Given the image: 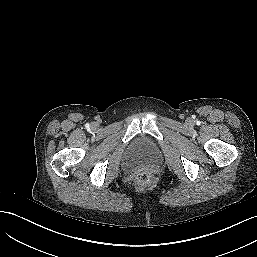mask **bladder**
Listing matches in <instances>:
<instances>
[{
	"label": "bladder",
	"instance_id": "bladder-1",
	"mask_svg": "<svg viewBox=\"0 0 257 257\" xmlns=\"http://www.w3.org/2000/svg\"><path fill=\"white\" fill-rule=\"evenodd\" d=\"M159 155V148L155 141L145 134L133 139L127 150V161L131 164L154 163Z\"/></svg>",
	"mask_w": 257,
	"mask_h": 257
}]
</instances>
